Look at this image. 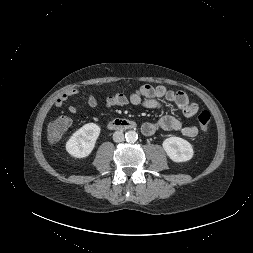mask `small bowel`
Returning a JSON list of instances; mask_svg holds the SVG:
<instances>
[{"label": "small bowel", "instance_id": "small-bowel-1", "mask_svg": "<svg viewBox=\"0 0 253 253\" xmlns=\"http://www.w3.org/2000/svg\"><path fill=\"white\" fill-rule=\"evenodd\" d=\"M78 93L79 91L76 89H71L63 93L57 98L55 107H62L65 102H67L71 97L77 95ZM81 94L83 97H85L90 107L94 108L98 105L96 97L90 91L84 90L81 92ZM161 99L174 104L186 118L192 117L198 111L197 104L191 103L188 95L184 91H174L166 88L163 85L152 86L149 84L141 86L139 89L129 95L118 93L109 96L106 99V105L108 107H114L132 104L142 105L146 108H161ZM68 110L71 114H76L78 111L75 106H70ZM159 129L179 132L186 138H194L198 134V129L196 126H183L179 119L170 115L163 116L155 122H145L141 127L142 133L146 136L153 135Z\"/></svg>", "mask_w": 253, "mask_h": 253}]
</instances>
